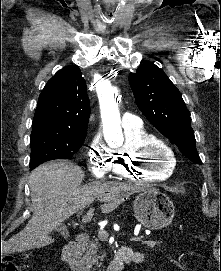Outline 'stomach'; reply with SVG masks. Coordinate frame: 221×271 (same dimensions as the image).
<instances>
[{
  "label": "stomach",
  "instance_id": "obj_1",
  "mask_svg": "<svg viewBox=\"0 0 221 271\" xmlns=\"http://www.w3.org/2000/svg\"><path fill=\"white\" fill-rule=\"evenodd\" d=\"M137 221L149 229H162L171 223L175 207L170 197L161 191H140L133 201Z\"/></svg>",
  "mask_w": 221,
  "mask_h": 271
}]
</instances>
